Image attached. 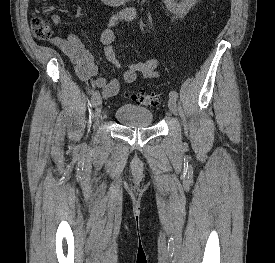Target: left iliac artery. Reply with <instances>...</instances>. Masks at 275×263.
I'll list each match as a JSON object with an SVG mask.
<instances>
[{
    "label": "left iliac artery",
    "instance_id": "left-iliac-artery-1",
    "mask_svg": "<svg viewBox=\"0 0 275 263\" xmlns=\"http://www.w3.org/2000/svg\"><path fill=\"white\" fill-rule=\"evenodd\" d=\"M170 99H174L175 101L178 99V93L176 91H171L169 93Z\"/></svg>",
    "mask_w": 275,
    "mask_h": 263
}]
</instances>
